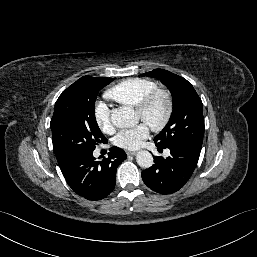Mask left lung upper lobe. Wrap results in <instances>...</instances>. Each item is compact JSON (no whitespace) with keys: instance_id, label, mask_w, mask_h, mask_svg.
Instances as JSON below:
<instances>
[{"instance_id":"obj_1","label":"left lung upper lobe","mask_w":257,"mask_h":257,"mask_svg":"<svg viewBox=\"0 0 257 257\" xmlns=\"http://www.w3.org/2000/svg\"><path fill=\"white\" fill-rule=\"evenodd\" d=\"M160 80L171 92L173 111L165 128L154 138L157 146L184 145L201 150L204 135L203 104L192 84L164 69L145 73Z\"/></svg>"}]
</instances>
